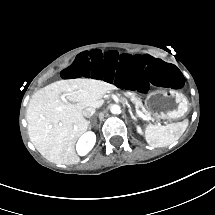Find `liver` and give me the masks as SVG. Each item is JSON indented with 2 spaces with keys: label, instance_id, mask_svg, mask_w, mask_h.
Segmentation results:
<instances>
[{
  "label": "liver",
  "instance_id": "1",
  "mask_svg": "<svg viewBox=\"0 0 215 215\" xmlns=\"http://www.w3.org/2000/svg\"><path fill=\"white\" fill-rule=\"evenodd\" d=\"M115 87L101 80L76 78L56 81L35 92L27 108L26 120L31 143L51 162L77 164L75 143L87 131L82 111L100 108L103 96ZM66 95L67 102L61 100Z\"/></svg>",
  "mask_w": 215,
  "mask_h": 215
}]
</instances>
